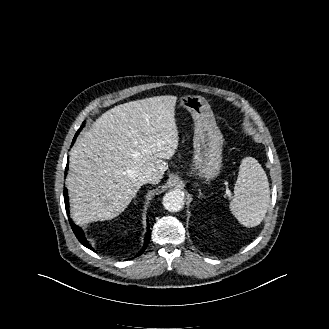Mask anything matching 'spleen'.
<instances>
[{"instance_id":"obj_1","label":"spleen","mask_w":329,"mask_h":329,"mask_svg":"<svg viewBox=\"0 0 329 329\" xmlns=\"http://www.w3.org/2000/svg\"><path fill=\"white\" fill-rule=\"evenodd\" d=\"M270 202L269 182L264 169L255 158H243L234 198L229 205L232 214L240 224L255 227L262 222Z\"/></svg>"}]
</instances>
